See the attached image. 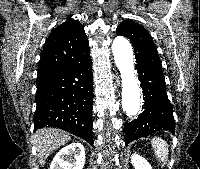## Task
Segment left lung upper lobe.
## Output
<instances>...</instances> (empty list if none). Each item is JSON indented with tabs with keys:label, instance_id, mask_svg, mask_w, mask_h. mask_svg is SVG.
<instances>
[{
	"label": "left lung upper lobe",
	"instance_id": "obj_1",
	"mask_svg": "<svg viewBox=\"0 0 200 169\" xmlns=\"http://www.w3.org/2000/svg\"><path fill=\"white\" fill-rule=\"evenodd\" d=\"M118 35H123L130 39L136 62L152 64L161 70V62L156 46L149 33L140 25L131 20H124L116 29Z\"/></svg>",
	"mask_w": 200,
	"mask_h": 169
}]
</instances>
